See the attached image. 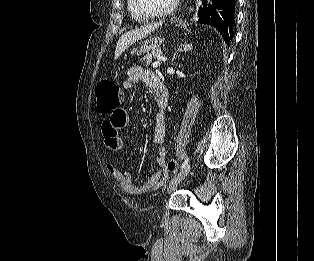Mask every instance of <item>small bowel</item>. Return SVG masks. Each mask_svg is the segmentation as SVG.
<instances>
[{"instance_id": "obj_1", "label": "small bowel", "mask_w": 314, "mask_h": 261, "mask_svg": "<svg viewBox=\"0 0 314 261\" xmlns=\"http://www.w3.org/2000/svg\"><path fill=\"white\" fill-rule=\"evenodd\" d=\"M142 81L147 86L152 87L155 91L162 85L158 75L152 71L144 70L140 65H133L127 71L126 80L123 83L125 89H131L133 84ZM127 109H112L108 114L109 120H104L101 125L102 136L106 140V149L109 151H119L123 148L121 140L122 131L128 121ZM166 134V118L163 113H157L154 118L153 143L158 145L157 162L158 171L153 174L144 183L136 185L133 183L132 175L129 171H122L117 165L110 163L107 165L108 172L118 182L120 188L128 195L138 196L145 194L153 189L158 188L168 177L166 168L167 152L163 146Z\"/></svg>"}]
</instances>
